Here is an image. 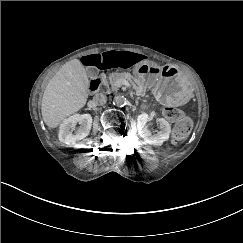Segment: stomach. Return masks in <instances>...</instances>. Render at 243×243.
<instances>
[{"label":"stomach","mask_w":243,"mask_h":243,"mask_svg":"<svg viewBox=\"0 0 243 243\" xmlns=\"http://www.w3.org/2000/svg\"><path fill=\"white\" fill-rule=\"evenodd\" d=\"M135 75L146 88L153 90L155 98L167 106H180L192 96L189 80L175 67H159L152 62L140 64Z\"/></svg>","instance_id":"0dacf381"}]
</instances>
